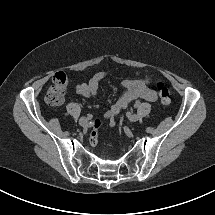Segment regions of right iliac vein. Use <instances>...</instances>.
<instances>
[{
  "label": "right iliac vein",
  "instance_id": "obj_1",
  "mask_svg": "<svg viewBox=\"0 0 215 215\" xmlns=\"http://www.w3.org/2000/svg\"><path fill=\"white\" fill-rule=\"evenodd\" d=\"M88 122H89V119L86 118V117H81V118L79 119V124H80L81 126H87V125H88Z\"/></svg>",
  "mask_w": 215,
  "mask_h": 215
}]
</instances>
